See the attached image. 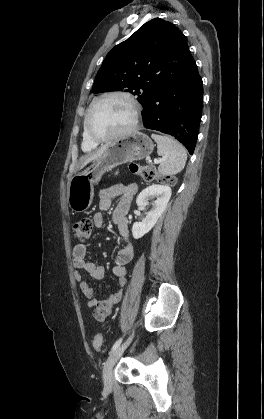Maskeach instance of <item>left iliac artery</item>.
<instances>
[{"instance_id":"1","label":"left iliac artery","mask_w":264,"mask_h":419,"mask_svg":"<svg viewBox=\"0 0 264 419\" xmlns=\"http://www.w3.org/2000/svg\"><path fill=\"white\" fill-rule=\"evenodd\" d=\"M122 339H123V337H121V338H119L115 343H114V345H113V347H112V349H111V352H113L115 349H117L119 346H120V344H121V342H122ZM110 352V353H111Z\"/></svg>"}]
</instances>
